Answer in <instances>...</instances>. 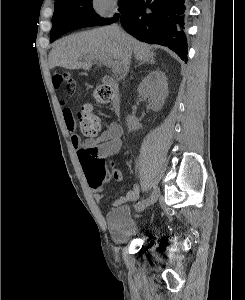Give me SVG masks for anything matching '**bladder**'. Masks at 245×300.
Masks as SVG:
<instances>
[{"instance_id": "1", "label": "bladder", "mask_w": 245, "mask_h": 300, "mask_svg": "<svg viewBox=\"0 0 245 300\" xmlns=\"http://www.w3.org/2000/svg\"><path fill=\"white\" fill-rule=\"evenodd\" d=\"M106 223L111 239L116 244L143 238L148 230L147 226L134 216L129 204L111 208L106 214Z\"/></svg>"}]
</instances>
